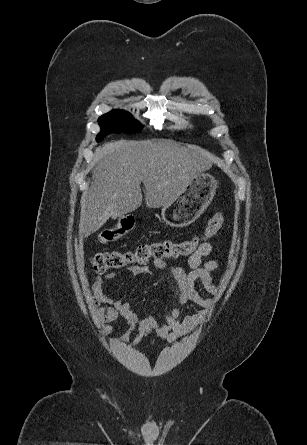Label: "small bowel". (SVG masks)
<instances>
[{
	"label": "small bowel",
	"instance_id": "c3829d8e",
	"mask_svg": "<svg viewBox=\"0 0 307 445\" xmlns=\"http://www.w3.org/2000/svg\"><path fill=\"white\" fill-rule=\"evenodd\" d=\"M212 249V243H202L197 251L188 258L190 268L188 271L178 265L169 264L164 259L153 261L155 268L167 269L171 273L180 291L178 305L167 314L163 323H159L152 315L139 318L131 303L123 302L119 298L104 292V282L114 280L118 276L117 272H109L104 277L97 276L92 289L95 293V301L97 305H100L97 310L100 321L111 323L118 317L124 319L127 329L117 339L119 342L128 341L134 332H136L135 343L152 332L169 342L177 341L179 338L192 333L204 321L207 310L212 305V301L203 297L196 289V283H200L212 295L218 293V287L212 279L211 272L218 268L219 263L216 260H205L211 254ZM128 272L133 276H139L151 273V269L144 266H132L128 269ZM190 302L199 306L202 310L181 317L182 308Z\"/></svg>",
	"mask_w": 307,
	"mask_h": 445
}]
</instances>
